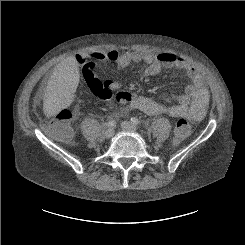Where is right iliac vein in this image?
<instances>
[{
	"label": "right iliac vein",
	"mask_w": 245,
	"mask_h": 245,
	"mask_svg": "<svg viewBox=\"0 0 245 245\" xmlns=\"http://www.w3.org/2000/svg\"><path fill=\"white\" fill-rule=\"evenodd\" d=\"M113 135H114V129H112V128H108V129H106V131L104 132V136H105L106 138H112Z\"/></svg>",
	"instance_id": "obj_1"
}]
</instances>
